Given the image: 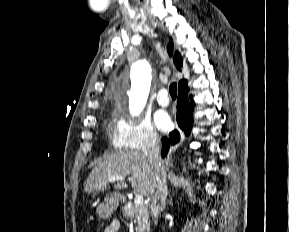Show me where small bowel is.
Listing matches in <instances>:
<instances>
[{
  "label": "small bowel",
  "mask_w": 289,
  "mask_h": 232,
  "mask_svg": "<svg viewBox=\"0 0 289 232\" xmlns=\"http://www.w3.org/2000/svg\"><path fill=\"white\" fill-rule=\"evenodd\" d=\"M119 229H120L119 222L114 220L104 229V232H118Z\"/></svg>",
  "instance_id": "c3829d8e"
}]
</instances>
